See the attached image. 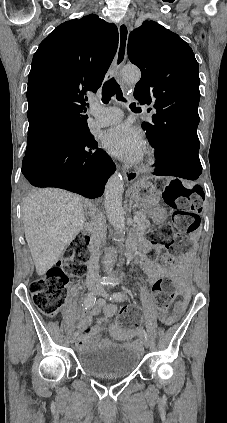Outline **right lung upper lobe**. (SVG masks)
Returning a JSON list of instances; mask_svg holds the SVG:
<instances>
[{
  "label": "right lung upper lobe",
  "mask_w": 227,
  "mask_h": 423,
  "mask_svg": "<svg viewBox=\"0 0 227 423\" xmlns=\"http://www.w3.org/2000/svg\"><path fill=\"white\" fill-rule=\"evenodd\" d=\"M118 47V29L90 14L59 25L39 45L28 78L26 154L86 132L96 92Z\"/></svg>",
  "instance_id": "cb5924a9"
}]
</instances>
